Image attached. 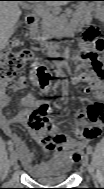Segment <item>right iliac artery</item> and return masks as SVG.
Masks as SVG:
<instances>
[{"mask_svg":"<svg viewBox=\"0 0 104 189\" xmlns=\"http://www.w3.org/2000/svg\"><path fill=\"white\" fill-rule=\"evenodd\" d=\"M9 150H10V152H13L14 151V147L12 145H10Z\"/></svg>","mask_w":104,"mask_h":189,"instance_id":"1","label":"right iliac artery"}]
</instances>
